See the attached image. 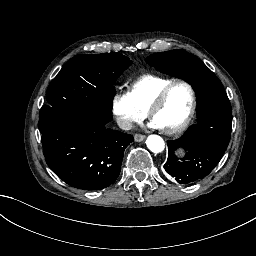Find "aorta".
<instances>
[{
	"instance_id": "1",
	"label": "aorta",
	"mask_w": 256,
	"mask_h": 256,
	"mask_svg": "<svg viewBox=\"0 0 256 256\" xmlns=\"http://www.w3.org/2000/svg\"><path fill=\"white\" fill-rule=\"evenodd\" d=\"M147 148L153 153H160L165 148V142L159 135H149L146 140Z\"/></svg>"
}]
</instances>
